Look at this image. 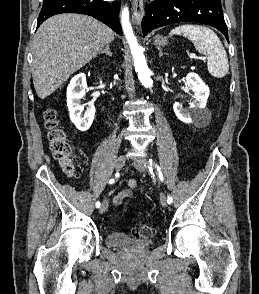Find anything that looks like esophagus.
Returning a JSON list of instances; mask_svg holds the SVG:
<instances>
[{"instance_id": "esophagus-1", "label": "esophagus", "mask_w": 259, "mask_h": 294, "mask_svg": "<svg viewBox=\"0 0 259 294\" xmlns=\"http://www.w3.org/2000/svg\"><path fill=\"white\" fill-rule=\"evenodd\" d=\"M132 20L134 24L139 29L143 17V0H133L132 1Z\"/></svg>"}]
</instances>
